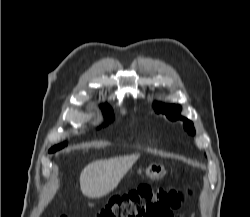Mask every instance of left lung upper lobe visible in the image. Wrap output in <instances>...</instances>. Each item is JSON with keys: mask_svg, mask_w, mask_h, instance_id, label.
I'll list each match as a JSON object with an SVG mask.
<instances>
[{"mask_svg": "<svg viewBox=\"0 0 250 217\" xmlns=\"http://www.w3.org/2000/svg\"><path fill=\"white\" fill-rule=\"evenodd\" d=\"M154 108L157 113H163L167 116V118L171 121L183 120V126L189 134L194 135L195 130L193 123L180 115L181 107L179 105H164L159 102L154 103Z\"/></svg>", "mask_w": 250, "mask_h": 217, "instance_id": "obj_1", "label": "left lung upper lobe"}]
</instances>
